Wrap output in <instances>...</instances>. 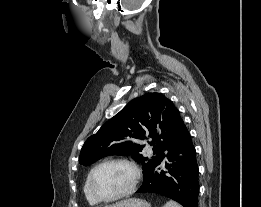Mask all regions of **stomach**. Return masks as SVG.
Returning <instances> with one entry per match:
<instances>
[{
	"label": "stomach",
	"mask_w": 261,
	"mask_h": 207,
	"mask_svg": "<svg viewBox=\"0 0 261 207\" xmlns=\"http://www.w3.org/2000/svg\"><path fill=\"white\" fill-rule=\"evenodd\" d=\"M105 207H151V205L145 200L130 198Z\"/></svg>",
	"instance_id": "obj_1"
}]
</instances>
